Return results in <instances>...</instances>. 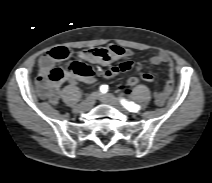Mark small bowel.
Returning a JSON list of instances; mask_svg holds the SVG:
<instances>
[{
  "label": "small bowel",
  "instance_id": "c3829d8e",
  "mask_svg": "<svg viewBox=\"0 0 212 183\" xmlns=\"http://www.w3.org/2000/svg\"><path fill=\"white\" fill-rule=\"evenodd\" d=\"M133 55L131 50L125 49L118 45H109L106 47H96L81 50L78 52L80 59L99 65H109L119 59L126 58ZM150 62L153 65L167 64L168 67V79L160 92L155 93V102L158 105H163L168 96L171 94L174 86V70L173 62L169 55L165 51H159L150 58ZM56 64L49 53L43 55L39 59V67L41 74H45ZM131 62H123L119 65L110 66L104 72L106 78H111L119 74L120 72L130 69ZM140 77L143 81L151 83L154 81V75L149 72L140 71ZM78 80L88 84L95 83V73L92 68L88 67V73L86 75H77L72 72H66L64 79L59 83H52L41 75L38 82L40 95L47 99L51 104L56 105L59 102L61 90L60 85L62 82H67L74 85Z\"/></svg>",
  "mask_w": 212,
  "mask_h": 183
}]
</instances>
